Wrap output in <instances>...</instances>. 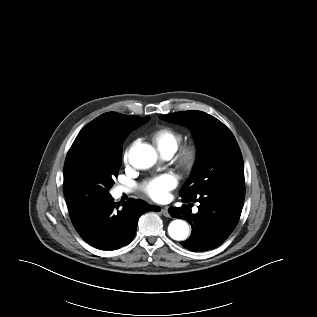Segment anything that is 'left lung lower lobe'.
I'll return each mask as SVG.
<instances>
[{"label": "left lung lower lobe", "instance_id": "1", "mask_svg": "<svg viewBox=\"0 0 317 317\" xmlns=\"http://www.w3.org/2000/svg\"><path fill=\"white\" fill-rule=\"evenodd\" d=\"M245 198L244 186H215L197 196L182 197L184 203L199 202L198 212L191 213V203L171 207L173 218H183L192 226V234L181 242L192 252L206 251L221 245L235 229Z\"/></svg>", "mask_w": 317, "mask_h": 317}]
</instances>
